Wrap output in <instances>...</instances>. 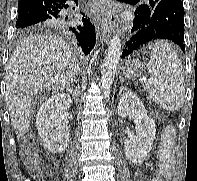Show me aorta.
<instances>
[{"instance_id":"obj_1","label":"aorta","mask_w":197,"mask_h":181,"mask_svg":"<svg viewBox=\"0 0 197 181\" xmlns=\"http://www.w3.org/2000/svg\"><path fill=\"white\" fill-rule=\"evenodd\" d=\"M121 57V40L118 35L114 36L109 43L104 62L101 67V89L103 97L109 100L111 87L114 81L117 66Z\"/></svg>"}]
</instances>
